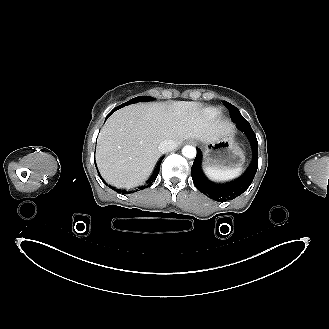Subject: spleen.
<instances>
[{
	"instance_id": "3e777b00",
	"label": "spleen",
	"mask_w": 329,
	"mask_h": 329,
	"mask_svg": "<svg viewBox=\"0 0 329 329\" xmlns=\"http://www.w3.org/2000/svg\"><path fill=\"white\" fill-rule=\"evenodd\" d=\"M204 171L209 179L217 182H225L239 177L243 169L236 168L231 170H219L213 168H205Z\"/></svg>"
}]
</instances>
